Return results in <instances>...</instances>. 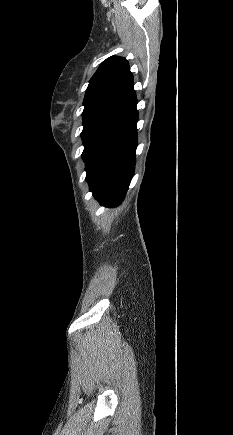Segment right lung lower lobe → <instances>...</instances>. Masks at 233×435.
<instances>
[{
  "mask_svg": "<svg viewBox=\"0 0 233 435\" xmlns=\"http://www.w3.org/2000/svg\"><path fill=\"white\" fill-rule=\"evenodd\" d=\"M137 120L138 111L135 108L85 159L90 191L104 205H119L134 175Z\"/></svg>",
  "mask_w": 233,
  "mask_h": 435,
  "instance_id": "obj_1",
  "label": "right lung lower lobe"
}]
</instances>
